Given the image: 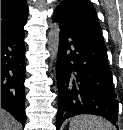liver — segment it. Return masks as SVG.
I'll return each instance as SVG.
<instances>
[{"mask_svg":"<svg viewBox=\"0 0 123 130\" xmlns=\"http://www.w3.org/2000/svg\"><path fill=\"white\" fill-rule=\"evenodd\" d=\"M18 122L4 109L1 108V130H18Z\"/></svg>","mask_w":123,"mask_h":130,"instance_id":"1","label":"liver"}]
</instances>
